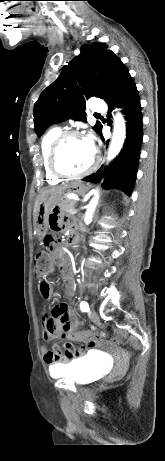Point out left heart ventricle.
Wrapping results in <instances>:
<instances>
[{
    "label": "left heart ventricle",
    "mask_w": 165,
    "mask_h": 461,
    "mask_svg": "<svg viewBox=\"0 0 165 461\" xmlns=\"http://www.w3.org/2000/svg\"><path fill=\"white\" fill-rule=\"evenodd\" d=\"M94 151L83 137H72L64 142L59 154L58 165L68 173L85 170L92 162Z\"/></svg>",
    "instance_id": "obj_1"
}]
</instances>
